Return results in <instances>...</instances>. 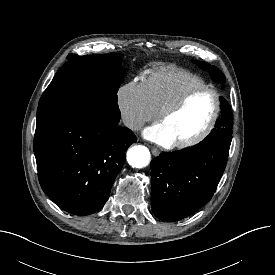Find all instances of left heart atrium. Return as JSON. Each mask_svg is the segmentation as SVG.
<instances>
[{
  "label": "left heart atrium",
  "instance_id": "left-heart-atrium-1",
  "mask_svg": "<svg viewBox=\"0 0 275 275\" xmlns=\"http://www.w3.org/2000/svg\"><path fill=\"white\" fill-rule=\"evenodd\" d=\"M143 135L146 139L163 146H170L175 142L167 128L162 123H157L146 128Z\"/></svg>",
  "mask_w": 275,
  "mask_h": 275
}]
</instances>
